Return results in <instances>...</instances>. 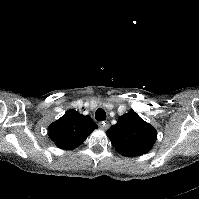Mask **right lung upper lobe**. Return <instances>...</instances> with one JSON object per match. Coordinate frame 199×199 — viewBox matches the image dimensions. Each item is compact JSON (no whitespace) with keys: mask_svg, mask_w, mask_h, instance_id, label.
Segmentation results:
<instances>
[{"mask_svg":"<svg viewBox=\"0 0 199 199\" xmlns=\"http://www.w3.org/2000/svg\"><path fill=\"white\" fill-rule=\"evenodd\" d=\"M98 125L89 117L70 109L59 120L53 122L48 130L49 137L57 147L70 150L81 145Z\"/></svg>","mask_w":199,"mask_h":199,"instance_id":"obj_1","label":"right lung upper lobe"}]
</instances>
